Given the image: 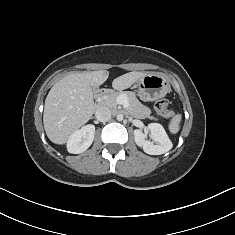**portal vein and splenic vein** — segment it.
Masks as SVG:
<instances>
[{
  "mask_svg": "<svg viewBox=\"0 0 235 235\" xmlns=\"http://www.w3.org/2000/svg\"><path fill=\"white\" fill-rule=\"evenodd\" d=\"M117 103L123 105L124 108L129 107L128 100L125 96L121 95L117 98Z\"/></svg>",
  "mask_w": 235,
  "mask_h": 235,
  "instance_id": "obj_1",
  "label": "portal vein and splenic vein"
}]
</instances>
